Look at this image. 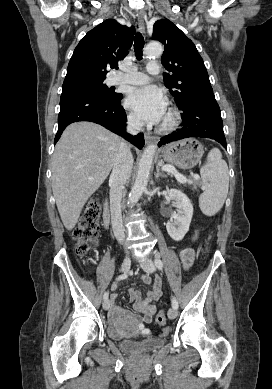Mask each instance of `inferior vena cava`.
I'll return each mask as SVG.
<instances>
[{"label":"inferior vena cava","instance_id":"obj_1","mask_svg":"<svg viewBox=\"0 0 272 389\" xmlns=\"http://www.w3.org/2000/svg\"><path fill=\"white\" fill-rule=\"evenodd\" d=\"M143 127V122L135 117L127 119V131L137 134ZM133 167V156L127 143L122 140L115 158L113 170L109 179L110 186V212L112 229L118 242L125 240V230L122 223L121 199L124 185L128 181Z\"/></svg>","mask_w":272,"mask_h":389}]
</instances>
